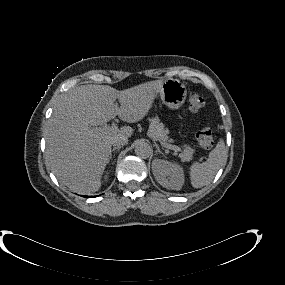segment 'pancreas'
I'll return each instance as SVG.
<instances>
[{"instance_id":"obj_1","label":"pancreas","mask_w":285,"mask_h":285,"mask_svg":"<svg viewBox=\"0 0 285 285\" xmlns=\"http://www.w3.org/2000/svg\"><path fill=\"white\" fill-rule=\"evenodd\" d=\"M168 129L164 128V125L159 121V119L156 118H152L150 119V126H149V130H148V134L161 142H166L169 141L168 139ZM183 151L181 153V158L184 161H190L192 159L194 150L187 145L182 146Z\"/></svg>"}]
</instances>
